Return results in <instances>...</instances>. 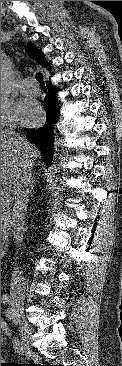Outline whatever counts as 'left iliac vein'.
I'll return each instance as SVG.
<instances>
[{"label":"left iliac vein","mask_w":122,"mask_h":366,"mask_svg":"<svg viewBox=\"0 0 122 366\" xmlns=\"http://www.w3.org/2000/svg\"><path fill=\"white\" fill-rule=\"evenodd\" d=\"M14 314H12L11 315V318H12V320L16 323V321H15V319H14V316H13Z\"/></svg>","instance_id":"left-iliac-vein-1"}]
</instances>
